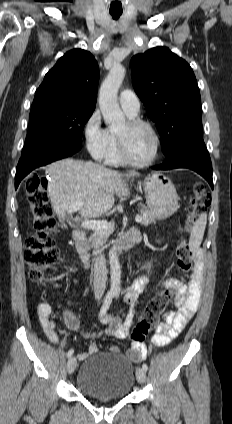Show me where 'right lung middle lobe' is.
<instances>
[{"mask_svg":"<svg viewBox=\"0 0 232 424\" xmlns=\"http://www.w3.org/2000/svg\"><path fill=\"white\" fill-rule=\"evenodd\" d=\"M93 111L71 105L31 108L23 151L40 142L81 144L84 125Z\"/></svg>","mask_w":232,"mask_h":424,"instance_id":"obj_1","label":"right lung middle lobe"}]
</instances>
